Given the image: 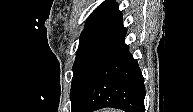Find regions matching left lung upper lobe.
<instances>
[{
    "mask_svg": "<svg viewBox=\"0 0 193 112\" xmlns=\"http://www.w3.org/2000/svg\"><path fill=\"white\" fill-rule=\"evenodd\" d=\"M120 13L118 4L114 0L104 1L91 13L80 36L76 59L87 43Z\"/></svg>",
    "mask_w": 193,
    "mask_h": 112,
    "instance_id": "5c2ea615",
    "label": "left lung upper lobe"
}]
</instances>
